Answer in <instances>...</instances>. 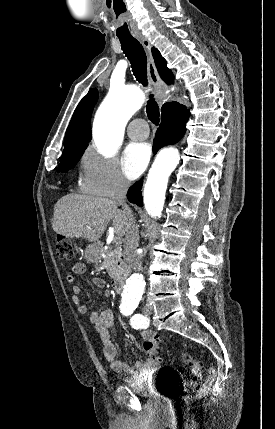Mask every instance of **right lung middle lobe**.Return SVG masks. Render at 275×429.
I'll use <instances>...</instances> for the list:
<instances>
[{"mask_svg":"<svg viewBox=\"0 0 275 429\" xmlns=\"http://www.w3.org/2000/svg\"><path fill=\"white\" fill-rule=\"evenodd\" d=\"M83 152L70 154L67 156L61 157L59 167L57 169L58 172H67L68 170L75 167Z\"/></svg>","mask_w":275,"mask_h":429,"instance_id":"obj_1","label":"right lung middle lobe"}]
</instances>
